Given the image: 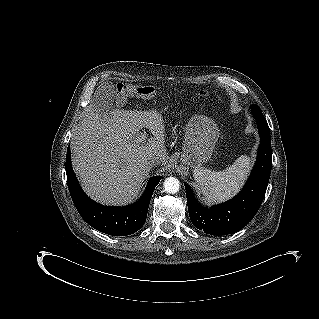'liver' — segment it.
I'll list each match as a JSON object with an SVG mask.
<instances>
[{
  "mask_svg": "<svg viewBox=\"0 0 319 319\" xmlns=\"http://www.w3.org/2000/svg\"><path fill=\"white\" fill-rule=\"evenodd\" d=\"M143 127L154 137L137 144L135 139ZM164 131L156 110L112 109L100 113L94 102L90 103L71 146L73 169L83 190L102 204L131 203L152 169L148 159L160 156L161 164L168 162Z\"/></svg>",
  "mask_w": 319,
  "mask_h": 319,
  "instance_id": "obj_1",
  "label": "liver"
}]
</instances>
